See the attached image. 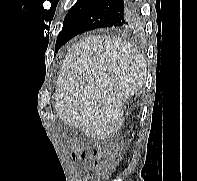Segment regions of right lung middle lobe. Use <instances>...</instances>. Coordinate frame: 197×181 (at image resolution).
<instances>
[{
    "label": "right lung middle lobe",
    "instance_id": "1",
    "mask_svg": "<svg viewBox=\"0 0 197 181\" xmlns=\"http://www.w3.org/2000/svg\"><path fill=\"white\" fill-rule=\"evenodd\" d=\"M85 11V9H76V10H70L65 19H64V23H63V28L62 31L59 33V36L57 38L56 41V45H55V50L57 51L60 46L62 45L63 41L65 40V38L68 35L69 30L71 29V27L73 26V24L75 23V21L77 20V18ZM114 28V27H111Z\"/></svg>",
    "mask_w": 197,
    "mask_h": 181
}]
</instances>
